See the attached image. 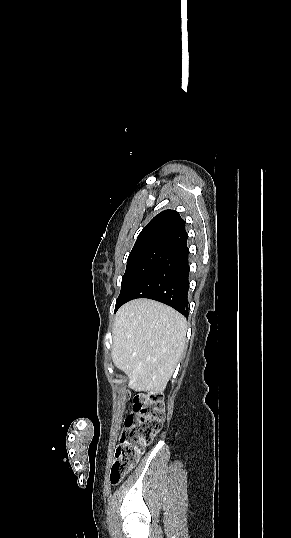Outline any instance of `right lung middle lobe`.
I'll return each mask as SVG.
<instances>
[{
  "label": "right lung middle lobe",
  "instance_id": "1",
  "mask_svg": "<svg viewBox=\"0 0 291 538\" xmlns=\"http://www.w3.org/2000/svg\"><path fill=\"white\" fill-rule=\"evenodd\" d=\"M172 250L168 248L153 247L129 254L127 267L122 278L121 292L116 300L115 312L126 303L142 279Z\"/></svg>",
  "mask_w": 291,
  "mask_h": 538
}]
</instances>
